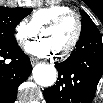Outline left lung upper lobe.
I'll list each match as a JSON object with an SVG mask.
<instances>
[{
	"instance_id": "obj_1",
	"label": "left lung upper lobe",
	"mask_w": 103,
	"mask_h": 103,
	"mask_svg": "<svg viewBox=\"0 0 103 103\" xmlns=\"http://www.w3.org/2000/svg\"><path fill=\"white\" fill-rule=\"evenodd\" d=\"M81 15H82V28H81V34L91 30V29H96V25L94 24V22L91 20V18L88 16V14L86 12H84L83 10L80 11ZM98 29V28H97Z\"/></svg>"
}]
</instances>
